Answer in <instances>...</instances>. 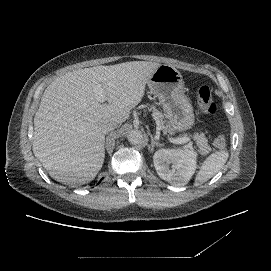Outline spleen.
Segmentation results:
<instances>
[{"label":"spleen","mask_w":271,"mask_h":271,"mask_svg":"<svg viewBox=\"0 0 271 271\" xmlns=\"http://www.w3.org/2000/svg\"><path fill=\"white\" fill-rule=\"evenodd\" d=\"M229 158L227 150L214 151L207 156L200 164L199 171L197 172L194 185L200 186L208 181L211 177L216 175L226 164Z\"/></svg>","instance_id":"1"}]
</instances>
